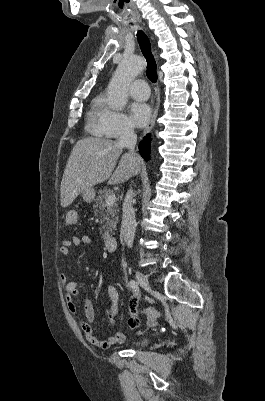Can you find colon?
I'll use <instances>...</instances> for the list:
<instances>
[{"label": "colon", "instance_id": "1", "mask_svg": "<svg viewBox=\"0 0 265 401\" xmlns=\"http://www.w3.org/2000/svg\"><path fill=\"white\" fill-rule=\"evenodd\" d=\"M76 219L77 212L75 210H69L65 213L64 223L66 225H73L75 224ZM140 317H145L148 323L152 325L160 317V314L153 308H143L140 311L136 310V312L130 317L129 320L132 329L138 327L140 323Z\"/></svg>", "mask_w": 265, "mask_h": 401}]
</instances>
